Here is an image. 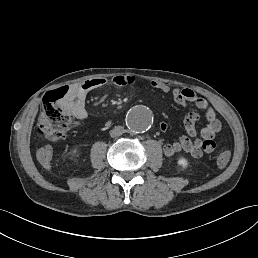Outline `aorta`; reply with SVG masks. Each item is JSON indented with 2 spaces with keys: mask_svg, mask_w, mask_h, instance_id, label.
Here are the masks:
<instances>
[{
  "mask_svg": "<svg viewBox=\"0 0 258 258\" xmlns=\"http://www.w3.org/2000/svg\"><path fill=\"white\" fill-rule=\"evenodd\" d=\"M153 123L152 112L145 106H137L130 110L126 116V125L132 133H143Z\"/></svg>",
  "mask_w": 258,
  "mask_h": 258,
  "instance_id": "762f6f07",
  "label": "aorta"
}]
</instances>
